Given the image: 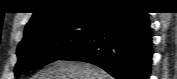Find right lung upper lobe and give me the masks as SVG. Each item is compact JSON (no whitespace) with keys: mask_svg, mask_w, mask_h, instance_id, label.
Returning <instances> with one entry per match:
<instances>
[{"mask_svg":"<svg viewBox=\"0 0 177 79\" xmlns=\"http://www.w3.org/2000/svg\"><path fill=\"white\" fill-rule=\"evenodd\" d=\"M131 3L129 0H42L26 25L25 34L39 27L101 15L107 8Z\"/></svg>","mask_w":177,"mask_h":79,"instance_id":"obj_1","label":"right lung upper lobe"}]
</instances>
